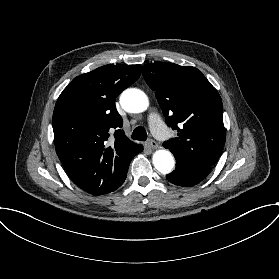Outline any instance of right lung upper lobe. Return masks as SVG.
Segmentation results:
<instances>
[{"mask_svg": "<svg viewBox=\"0 0 279 279\" xmlns=\"http://www.w3.org/2000/svg\"><path fill=\"white\" fill-rule=\"evenodd\" d=\"M140 74L141 65H105L73 79L56 102L57 155L71 180L89 194L116 190L132 158L143 150L120 129L123 120L115 106L116 97Z\"/></svg>", "mask_w": 279, "mask_h": 279, "instance_id": "obj_1", "label": "right lung upper lobe"}]
</instances>
